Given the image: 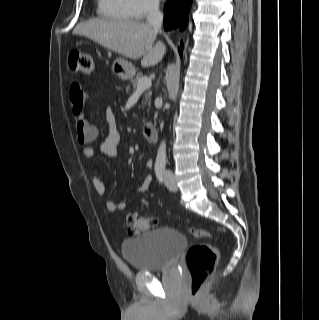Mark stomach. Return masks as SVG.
I'll return each instance as SVG.
<instances>
[{
  "label": "stomach",
  "instance_id": "0dacf381",
  "mask_svg": "<svg viewBox=\"0 0 319 320\" xmlns=\"http://www.w3.org/2000/svg\"><path fill=\"white\" fill-rule=\"evenodd\" d=\"M113 74L121 80L131 79L135 74V68L132 63L125 59H116L112 65Z\"/></svg>",
  "mask_w": 319,
  "mask_h": 320
}]
</instances>
